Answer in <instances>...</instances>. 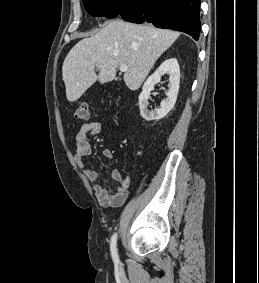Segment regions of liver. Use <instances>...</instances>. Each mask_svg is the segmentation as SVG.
Instances as JSON below:
<instances>
[{"instance_id":"liver-1","label":"liver","mask_w":259,"mask_h":283,"mask_svg":"<svg viewBox=\"0 0 259 283\" xmlns=\"http://www.w3.org/2000/svg\"><path fill=\"white\" fill-rule=\"evenodd\" d=\"M179 35L148 24L110 21L95 35L79 41L66 56L62 76L68 101L78 100L96 81L104 84L114 80L121 65L128 67L124 74L126 86L137 90Z\"/></svg>"}]
</instances>
